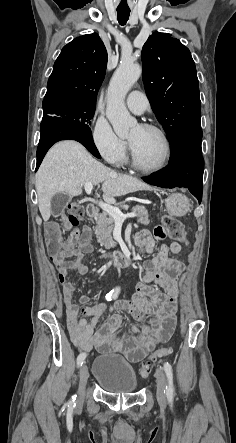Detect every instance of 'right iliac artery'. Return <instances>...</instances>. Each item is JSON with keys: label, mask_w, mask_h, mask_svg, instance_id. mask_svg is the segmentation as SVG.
I'll return each instance as SVG.
<instances>
[{"label": "right iliac artery", "mask_w": 236, "mask_h": 443, "mask_svg": "<svg viewBox=\"0 0 236 443\" xmlns=\"http://www.w3.org/2000/svg\"><path fill=\"white\" fill-rule=\"evenodd\" d=\"M119 293H120V287H116L115 289L111 290L106 295V300L111 301V300L116 299L118 297ZM85 358H86V353L82 352L79 354V356L77 357V366L78 367L82 366ZM75 399H76V396H73L72 399L69 401L70 406H75Z\"/></svg>", "instance_id": "obj_1"}]
</instances>
